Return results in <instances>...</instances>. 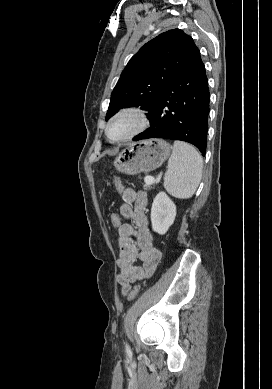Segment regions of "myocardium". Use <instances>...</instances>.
Wrapping results in <instances>:
<instances>
[{
	"label": "myocardium",
	"mask_w": 272,
	"mask_h": 389,
	"mask_svg": "<svg viewBox=\"0 0 272 389\" xmlns=\"http://www.w3.org/2000/svg\"><path fill=\"white\" fill-rule=\"evenodd\" d=\"M125 116H129V117H132L135 119V125H134L133 129L127 135H125L121 138H118V139H113L110 136L111 126L113 125V123L117 119H119L121 117H125ZM148 125H149V120H148L147 114L145 113V111L143 109H141L140 107H137V106H126V107L119 109L111 116V118L107 122V125L105 128V133H106V136L110 142L122 143V142H127V141L135 138L136 136L140 135L142 132H144L146 130Z\"/></svg>",
	"instance_id": "1"
}]
</instances>
